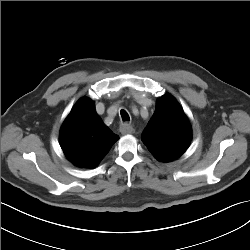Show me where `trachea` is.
I'll list each match as a JSON object with an SVG mask.
<instances>
[{"label":"trachea","mask_w":250,"mask_h":250,"mask_svg":"<svg viewBox=\"0 0 250 250\" xmlns=\"http://www.w3.org/2000/svg\"><path fill=\"white\" fill-rule=\"evenodd\" d=\"M121 117L123 121H129L130 117L128 115V113L125 110H121L120 111Z\"/></svg>","instance_id":"trachea-1"}]
</instances>
